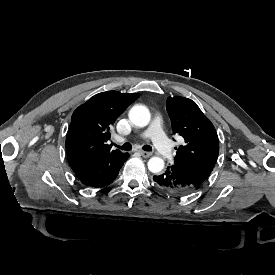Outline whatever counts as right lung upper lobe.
<instances>
[{
  "label": "right lung upper lobe",
  "instance_id": "cb5924a9",
  "mask_svg": "<svg viewBox=\"0 0 275 275\" xmlns=\"http://www.w3.org/2000/svg\"><path fill=\"white\" fill-rule=\"evenodd\" d=\"M138 97V93L107 91L80 105L72 115L66 137L69 163L119 153V150L112 151L106 142L110 139L115 120Z\"/></svg>",
  "mask_w": 275,
  "mask_h": 275
}]
</instances>
